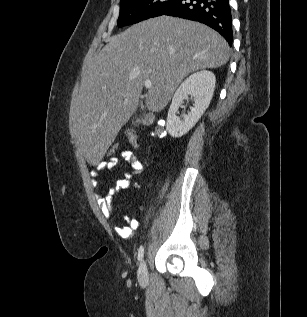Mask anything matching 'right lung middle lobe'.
<instances>
[{
    "label": "right lung middle lobe",
    "instance_id": "obj_1",
    "mask_svg": "<svg viewBox=\"0 0 307 317\" xmlns=\"http://www.w3.org/2000/svg\"><path fill=\"white\" fill-rule=\"evenodd\" d=\"M176 0H123L120 1L118 26L135 24L162 15Z\"/></svg>",
    "mask_w": 307,
    "mask_h": 317
}]
</instances>
